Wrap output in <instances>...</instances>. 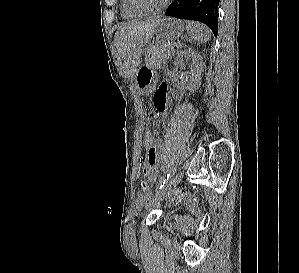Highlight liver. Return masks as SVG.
<instances>
[{
  "instance_id": "6515ba94",
  "label": "liver",
  "mask_w": 299,
  "mask_h": 273,
  "mask_svg": "<svg viewBox=\"0 0 299 273\" xmlns=\"http://www.w3.org/2000/svg\"><path fill=\"white\" fill-rule=\"evenodd\" d=\"M161 19L122 24L114 41L123 65L131 76L138 71L143 47L152 39Z\"/></svg>"
}]
</instances>
